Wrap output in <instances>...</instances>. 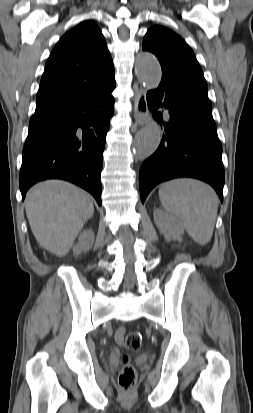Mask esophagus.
<instances>
[{
    "label": "esophagus",
    "instance_id": "34e87169",
    "mask_svg": "<svg viewBox=\"0 0 253 413\" xmlns=\"http://www.w3.org/2000/svg\"><path fill=\"white\" fill-rule=\"evenodd\" d=\"M134 117L139 126H143L149 120L146 90L143 88H140L134 101Z\"/></svg>",
    "mask_w": 253,
    "mask_h": 413
}]
</instances>
